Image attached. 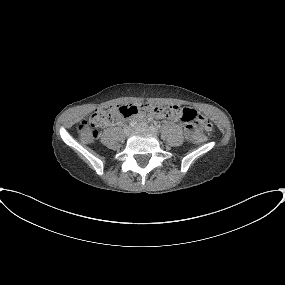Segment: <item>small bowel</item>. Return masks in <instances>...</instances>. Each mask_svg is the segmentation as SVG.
I'll return each mask as SVG.
<instances>
[{
    "label": "small bowel",
    "instance_id": "1",
    "mask_svg": "<svg viewBox=\"0 0 285 285\" xmlns=\"http://www.w3.org/2000/svg\"><path fill=\"white\" fill-rule=\"evenodd\" d=\"M181 110V109H180ZM159 117H163V115H159ZM180 117H181V112L178 111L175 115H173L171 118L173 120H176V121H179L180 120Z\"/></svg>",
    "mask_w": 285,
    "mask_h": 285
}]
</instances>
